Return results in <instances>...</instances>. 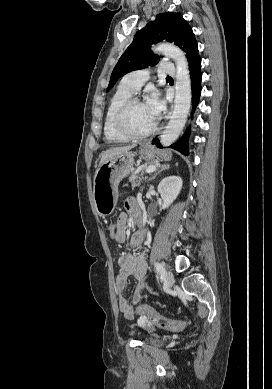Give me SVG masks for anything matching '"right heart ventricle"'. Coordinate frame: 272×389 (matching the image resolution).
<instances>
[{"label":"right heart ventricle","mask_w":272,"mask_h":389,"mask_svg":"<svg viewBox=\"0 0 272 389\" xmlns=\"http://www.w3.org/2000/svg\"><path fill=\"white\" fill-rule=\"evenodd\" d=\"M133 93L124 88L123 86H119L117 91L111 97L104 118L103 132L105 139L109 142H123L126 141L127 138L122 136L115 127V116L121 107V105L130 97H132Z\"/></svg>","instance_id":"e07e8e85"}]
</instances>
